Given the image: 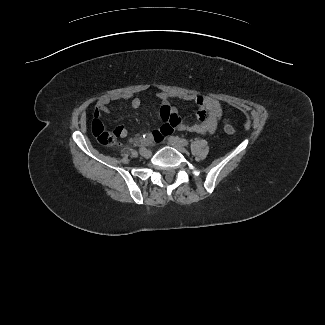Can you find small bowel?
I'll use <instances>...</instances> for the list:
<instances>
[{"label":"small bowel","instance_id":"small-bowel-1","mask_svg":"<svg viewBox=\"0 0 325 325\" xmlns=\"http://www.w3.org/2000/svg\"><path fill=\"white\" fill-rule=\"evenodd\" d=\"M157 98L161 101L159 110V116L165 123L159 128L152 131L154 138L161 140L165 136L171 134L173 130L181 132H194L199 134H212L218 127L224 110L220 102L209 96H202L191 94L187 92H159ZM180 99L183 101L193 102L197 108V123L186 124L183 123L178 111L175 107L170 105V99ZM130 100V104L134 109L141 107V100L138 97L131 95L130 93H108L101 96L95 108V117H100L102 113H109V105L114 101ZM119 130L120 136L124 137L127 134L126 129L123 126L116 128Z\"/></svg>","mask_w":325,"mask_h":325}]
</instances>
